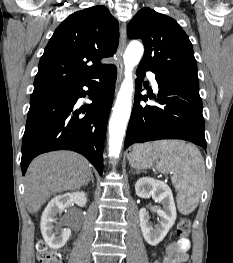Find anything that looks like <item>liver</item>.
Returning a JSON list of instances; mask_svg holds the SVG:
<instances>
[{"instance_id": "1", "label": "liver", "mask_w": 233, "mask_h": 263, "mask_svg": "<svg viewBox=\"0 0 233 263\" xmlns=\"http://www.w3.org/2000/svg\"><path fill=\"white\" fill-rule=\"evenodd\" d=\"M91 175L87 160L77 153L57 151L38 156L31 162L25 177L28 212H38L53 194L87 185Z\"/></svg>"}]
</instances>
